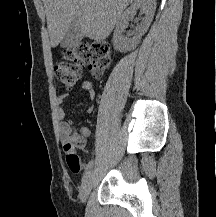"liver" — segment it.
<instances>
[{
    "label": "liver",
    "mask_w": 216,
    "mask_h": 217,
    "mask_svg": "<svg viewBox=\"0 0 216 217\" xmlns=\"http://www.w3.org/2000/svg\"><path fill=\"white\" fill-rule=\"evenodd\" d=\"M133 0H44L52 47H56L77 18L85 37L101 41L112 32Z\"/></svg>",
    "instance_id": "6515ba94"
}]
</instances>
